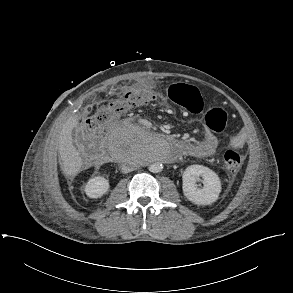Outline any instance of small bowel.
Listing matches in <instances>:
<instances>
[{
    "instance_id": "c3829d8e",
    "label": "small bowel",
    "mask_w": 293,
    "mask_h": 293,
    "mask_svg": "<svg viewBox=\"0 0 293 293\" xmlns=\"http://www.w3.org/2000/svg\"><path fill=\"white\" fill-rule=\"evenodd\" d=\"M147 123H145L146 125ZM245 144V135L243 133H238L233 136L229 141V146L232 148H241ZM218 147L217 137L210 133L206 132L203 140L196 143H189V149L185 155L191 157H209L212 156Z\"/></svg>"
}]
</instances>
